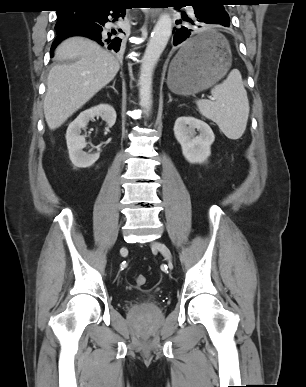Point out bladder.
I'll return each mask as SVG.
<instances>
[{
	"mask_svg": "<svg viewBox=\"0 0 306 387\" xmlns=\"http://www.w3.org/2000/svg\"><path fill=\"white\" fill-rule=\"evenodd\" d=\"M151 305V303L147 300L141 301L140 303L137 304V306L142 307V308H147Z\"/></svg>",
	"mask_w": 306,
	"mask_h": 387,
	"instance_id": "obj_1",
	"label": "bladder"
}]
</instances>
